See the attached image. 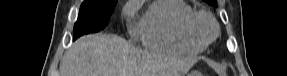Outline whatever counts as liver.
Wrapping results in <instances>:
<instances>
[{
	"instance_id": "obj_1",
	"label": "liver",
	"mask_w": 287,
	"mask_h": 76,
	"mask_svg": "<svg viewBox=\"0 0 287 76\" xmlns=\"http://www.w3.org/2000/svg\"><path fill=\"white\" fill-rule=\"evenodd\" d=\"M197 58L139 51L110 34L86 35L65 52L60 76H182Z\"/></svg>"
}]
</instances>
